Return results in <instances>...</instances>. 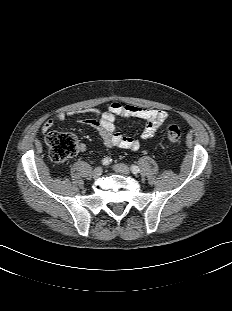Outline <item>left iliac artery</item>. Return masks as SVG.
<instances>
[{"mask_svg":"<svg viewBox=\"0 0 232 311\" xmlns=\"http://www.w3.org/2000/svg\"><path fill=\"white\" fill-rule=\"evenodd\" d=\"M131 171H132V173L137 174V173H139L140 169H139L138 166L132 165L131 166Z\"/></svg>","mask_w":232,"mask_h":311,"instance_id":"obj_1","label":"left iliac artery"}]
</instances>
